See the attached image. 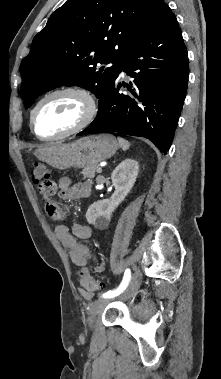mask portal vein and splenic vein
<instances>
[{"label": "portal vein and splenic vein", "mask_w": 221, "mask_h": 379, "mask_svg": "<svg viewBox=\"0 0 221 379\" xmlns=\"http://www.w3.org/2000/svg\"><path fill=\"white\" fill-rule=\"evenodd\" d=\"M101 172H102V168H98L97 173H101Z\"/></svg>", "instance_id": "portal-vein-and-splenic-vein-1"}]
</instances>
